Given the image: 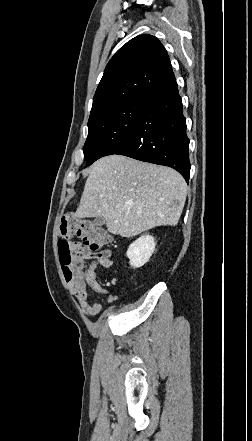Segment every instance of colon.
Masks as SVG:
<instances>
[{
    "mask_svg": "<svg viewBox=\"0 0 252 441\" xmlns=\"http://www.w3.org/2000/svg\"><path fill=\"white\" fill-rule=\"evenodd\" d=\"M58 241V252L62 270L67 281L78 283L82 281L84 271L80 258L81 252L97 253L109 243L107 232L86 219H78L72 213L63 216ZM77 236L81 242H73L68 238Z\"/></svg>",
    "mask_w": 252,
    "mask_h": 441,
    "instance_id": "obj_1",
    "label": "colon"
}]
</instances>
